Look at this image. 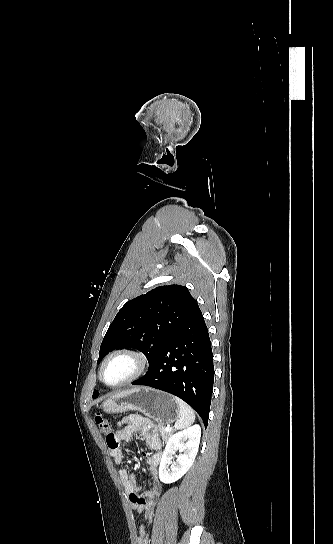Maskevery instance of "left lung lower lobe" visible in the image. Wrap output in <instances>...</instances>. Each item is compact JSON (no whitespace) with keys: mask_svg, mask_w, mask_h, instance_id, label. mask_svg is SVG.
Listing matches in <instances>:
<instances>
[{"mask_svg":"<svg viewBox=\"0 0 333 544\" xmlns=\"http://www.w3.org/2000/svg\"><path fill=\"white\" fill-rule=\"evenodd\" d=\"M214 365L211 342L196 303L164 344L148 372L134 385L171 393L188 403L208 423Z\"/></svg>","mask_w":333,"mask_h":544,"instance_id":"1","label":"left lung lower lobe"}]
</instances>
